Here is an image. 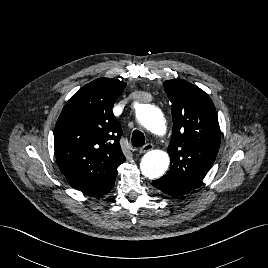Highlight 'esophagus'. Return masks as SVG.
I'll return each instance as SVG.
<instances>
[{
    "mask_svg": "<svg viewBox=\"0 0 268 268\" xmlns=\"http://www.w3.org/2000/svg\"><path fill=\"white\" fill-rule=\"evenodd\" d=\"M153 147H154L153 144L148 143V144L144 145V146L140 149L139 153H140V154H144V153H146V152L152 150Z\"/></svg>",
    "mask_w": 268,
    "mask_h": 268,
    "instance_id": "34e87169",
    "label": "esophagus"
}]
</instances>
